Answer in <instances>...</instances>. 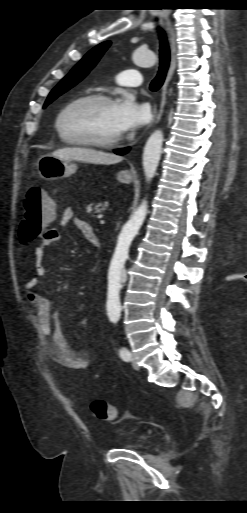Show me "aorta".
Segmentation results:
<instances>
[{"mask_svg": "<svg viewBox=\"0 0 247 513\" xmlns=\"http://www.w3.org/2000/svg\"><path fill=\"white\" fill-rule=\"evenodd\" d=\"M133 61L138 66L151 67L156 62V55L150 50H136L133 53ZM163 140V132L158 129L149 136L144 146L142 163L147 182L156 174ZM147 213V201L143 200L118 237L108 274V314L113 321H117L120 318L119 292L122 287L123 269L128 258L129 247L141 228Z\"/></svg>", "mask_w": 247, "mask_h": 513, "instance_id": "obj_1", "label": "aorta"}]
</instances>
